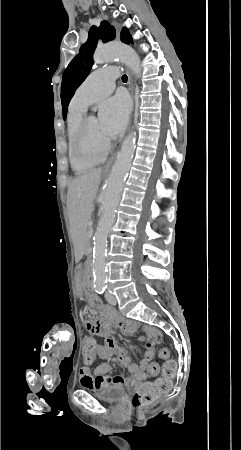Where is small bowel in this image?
<instances>
[{"label": "small bowel", "mask_w": 241, "mask_h": 450, "mask_svg": "<svg viewBox=\"0 0 241 450\" xmlns=\"http://www.w3.org/2000/svg\"><path fill=\"white\" fill-rule=\"evenodd\" d=\"M84 305L86 307H91L93 305V300L91 298H86L84 300ZM82 316L84 318H89L91 316V311L89 309H84L82 311ZM86 326L89 330H94L96 334H99L104 338V345H98L100 354L99 356H95L94 361H84L85 367L80 370V382L84 388L90 390H104L110 387H136L147 379V370L154 357L155 347L159 345L162 340V333L158 329L150 324H142L132 319L115 324V326L125 334L132 335L137 331H141L144 334L141 337V340L145 343V349L139 363L135 364L132 362V359L127 354L126 350L120 347L111 337V325L109 322L106 320L89 321L86 323ZM93 342L95 341L93 340ZM112 353L118 355L119 363L129 370L130 376L107 375V372L110 370V366L107 363L94 366L97 357L106 359L110 357Z\"/></svg>", "instance_id": "1"}]
</instances>
